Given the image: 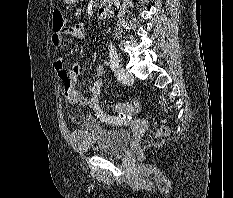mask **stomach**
Returning a JSON list of instances; mask_svg holds the SVG:
<instances>
[{"instance_id":"obj_1","label":"stomach","mask_w":233,"mask_h":198,"mask_svg":"<svg viewBox=\"0 0 233 198\" xmlns=\"http://www.w3.org/2000/svg\"><path fill=\"white\" fill-rule=\"evenodd\" d=\"M77 0H64L66 4H74Z\"/></svg>"}]
</instances>
